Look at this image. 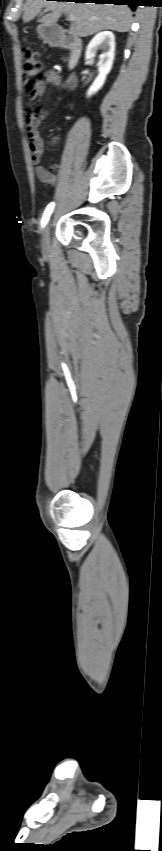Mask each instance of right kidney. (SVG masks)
Masks as SVG:
<instances>
[{
    "label": "right kidney",
    "instance_id": "ca27d5eb",
    "mask_svg": "<svg viewBox=\"0 0 162 851\" xmlns=\"http://www.w3.org/2000/svg\"><path fill=\"white\" fill-rule=\"evenodd\" d=\"M99 49L103 50V53L99 56V74L89 87L88 96L96 93L103 86L106 76L112 68L115 56V37L112 32L103 31L95 35L87 46L85 59L87 61L93 59Z\"/></svg>",
    "mask_w": 162,
    "mask_h": 851
}]
</instances>
